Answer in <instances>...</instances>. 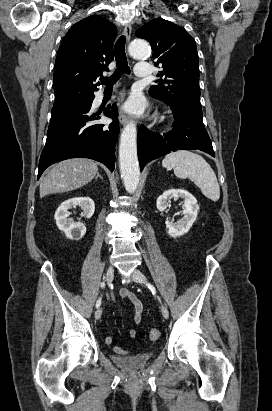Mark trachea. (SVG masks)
Here are the masks:
<instances>
[{"label": "trachea", "instance_id": "3493384b", "mask_svg": "<svg viewBox=\"0 0 272 411\" xmlns=\"http://www.w3.org/2000/svg\"><path fill=\"white\" fill-rule=\"evenodd\" d=\"M125 43V36H120L119 39L116 41L114 46V54L117 68L110 78H100V82L102 84H105L106 86H112L120 79L122 74L130 73V68L128 66L127 57L125 53Z\"/></svg>", "mask_w": 272, "mask_h": 411}]
</instances>
